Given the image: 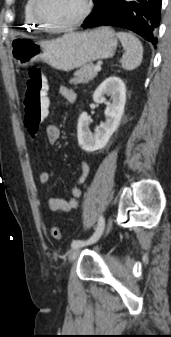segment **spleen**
Listing matches in <instances>:
<instances>
[{"instance_id":"3e777b00","label":"spleen","mask_w":171,"mask_h":337,"mask_svg":"<svg viewBox=\"0 0 171 337\" xmlns=\"http://www.w3.org/2000/svg\"><path fill=\"white\" fill-rule=\"evenodd\" d=\"M116 35L125 50L121 60L122 68L125 70L136 69L143 58L142 43L131 33L118 32Z\"/></svg>"}]
</instances>
